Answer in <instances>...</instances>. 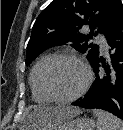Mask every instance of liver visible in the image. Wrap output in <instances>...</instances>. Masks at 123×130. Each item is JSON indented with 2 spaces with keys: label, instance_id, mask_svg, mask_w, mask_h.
I'll return each mask as SVG.
<instances>
[{
  "label": "liver",
  "instance_id": "6515ba94",
  "mask_svg": "<svg viewBox=\"0 0 123 130\" xmlns=\"http://www.w3.org/2000/svg\"><path fill=\"white\" fill-rule=\"evenodd\" d=\"M80 114L78 108L70 106H36L28 115L26 126L30 130H49L57 124Z\"/></svg>",
  "mask_w": 123,
  "mask_h": 130
}]
</instances>
